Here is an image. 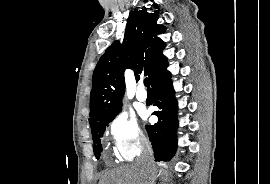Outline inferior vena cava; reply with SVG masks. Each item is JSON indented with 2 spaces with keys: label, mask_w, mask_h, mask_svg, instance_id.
<instances>
[{
  "label": "inferior vena cava",
  "mask_w": 270,
  "mask_h": 184,
  "mask_svg": "<svg viewBox=\"0 0 270 184\" xmlns=\"http://www.w3.org/2000/svg\"><path fill=\"white\" fill-rule=\"evenodd\" d=\"M137 165L149 173L154 171L153 151L148 141H143L142 143V153L138 159Z\"/></svg>",
  "instance_id": "602c4592"
}]
</instances>
